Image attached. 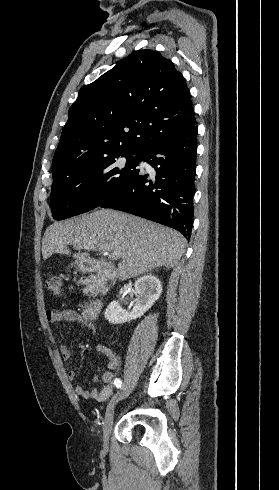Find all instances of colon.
Here are the masks:
<instances>
[{"label": "colon", "instance_id": "colon-1", "mask_svg": "<svg viewBox=\"0 0 279 490\" xmlns=\"http://www.w3.org/2000/svg\"><path fill=\"white\" fill-rule=\"evenodd\" d=\"M46 290L55 296L61 294L62 282L58 276H52L45 280L44 282Z\"/></svg>", "mask_w": 279, "mask_h": 490}]
</instances>
